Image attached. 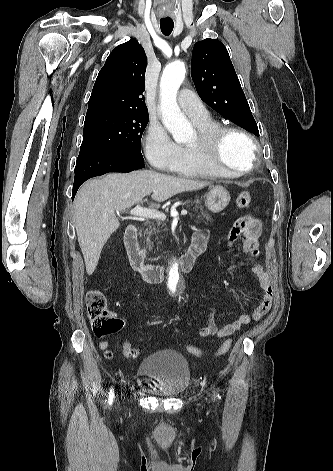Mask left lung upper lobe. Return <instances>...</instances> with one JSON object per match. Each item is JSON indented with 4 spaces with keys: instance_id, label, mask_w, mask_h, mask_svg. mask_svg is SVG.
I'll use <instances>...</instances> for the list:
<instances>
[{
    "instance_id": "left-lung-upper-lobe-1",
    "label": "left lung upper lobe",
    "mask_w": 333,
    "mask_h": 471,
    "mask_svg": "<svg viewBox=\"0 0 333 471\" xmlns=\"http://www.w3.org/2000/svg\"><path fill=\"white\" fill-rule=\"evenodd\" d=\"M191 76L205 103L238 126L259 136L256 121L222 42L205 39L194 45Z\"/></svg>"
}]
</instances>
